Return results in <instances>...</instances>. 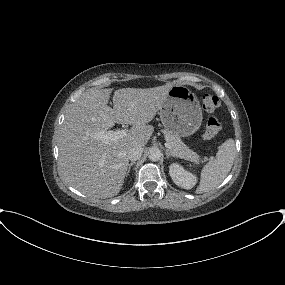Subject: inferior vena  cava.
I'll list each match as a JSON object with an SVG mask.
<instances>
[{"instance_id":"obj_1","label":"inferior vena cava","mask_w":285,"mask_h":285,"mask_svg":"<svg viewBox=\"0 0 285 285\" xmlns=\"http://www.w3.org/2000/svg\"><path fill=\"white\" fill-rule=\"evenodd\" d=\"M142 153H143V147L140 145H136L128 150L127 157L131 161H136L142 156Z\"/></svg>"}]
</instances>
